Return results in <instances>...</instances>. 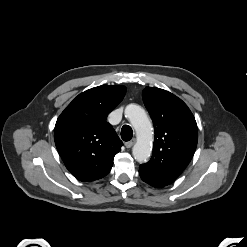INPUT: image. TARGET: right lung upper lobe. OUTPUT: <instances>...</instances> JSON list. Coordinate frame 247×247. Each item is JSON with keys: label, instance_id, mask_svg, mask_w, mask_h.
Here are the masks:
<instances>
[{"label": "right lung upper lobe", "instance_id": "obj_1", "mask_svg": "<svg viewBox=\"0 0 247 247\" xmlns=\"http://www.w3.org/2000/svg\"><path fill=\"white\" fill-rule=\"evenodd\" d=\"M124 86L101 85L79 94L57 119L54 140L66 168L80 181L106 176L123 145L107 115L122 101Z\"/></svg>", "mask_w": 247, "mask_h": 247}]
</instances>
